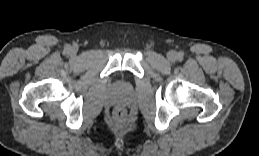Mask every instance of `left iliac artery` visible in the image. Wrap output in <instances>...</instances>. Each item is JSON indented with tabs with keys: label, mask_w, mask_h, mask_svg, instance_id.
I'll use <instances>...</instances> for the list:
<instances>
[{
	"label": "left iliac artery",
	"mask_w": 259,
	"mask_h": 156,
	"mask_svg": "<svg viewBox=\"0 0 259 156\" xmlns=\"http://www.w3.org/2000/svg\"><path fill=\"white\" fill-rule=\"evenodd\" d=\"M182 58H183V54H182V53H179V54H178V60H182Z\"/></svg>",
	"instance_id": "obj_1"
}]
</instances>
